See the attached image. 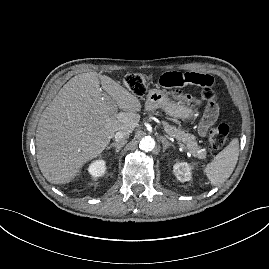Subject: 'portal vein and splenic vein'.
Masks as SVG:
<instances>
[{
  "label": "portal vein and splenic vein",
  "instance_id": "18ae733b",
  "mask_svg": "<svg viewBox=\"0 0 269 269\" xmlns=\"http://www.w3.org/2000/svg\"><path fill=\"white\" fill-rule=\"evenodd\" d=\"M105 98H106V100H108V101L110 100L108 96H105ZM109 103H110L111 105L113 104V102H109ZM112 108L115 110L114 105H112ZM178 144H179L180 147L186 149L185 146H184L180 141H178Z\"/></svg>",
  "mask_w": 269,
  "mask_h": 269
}]
</instances>
